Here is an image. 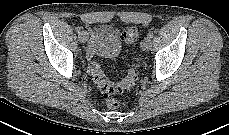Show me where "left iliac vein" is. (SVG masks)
<instances>
[{"label":"left iliac vein","instance_id":"obj_1","mask_svg":"<svg viewBox=\"0 0 229 135\" xmlns=\"http://www.w3.org/2000/svg\"><path fill=\"white\" fill-rule=\"evenodd\" d=\"M152 46V41L150 38L146 37L142 40L141 42V48L144 50V51H148Z\"/></svg>","mask_w":229,"mask_h":135}]
</instances>
